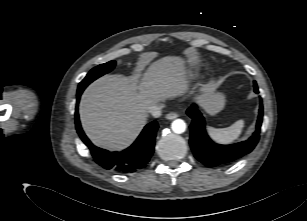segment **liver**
Wrapping results in <instances>:
<instances>
[{"instance_id":"1","label":"liver","mask_w":307,"mask_h":221,"mask_svg":"<svg viewBox=\"0 0 307 221\" xmlns=\"http://www.w3.org/2000/svg\"><path fill=\"white\" fill-rule=\"evenodd\" d=\"M188 86L184 61L166 56L145 71L139 80L106 75L82 94L79 115L84 132L97 146L119 150L129 146L147 122L149 108L182 94ZM216 86L206 84L197 97L201 107L212 110Z\"/></svg>"}]
</instances>
